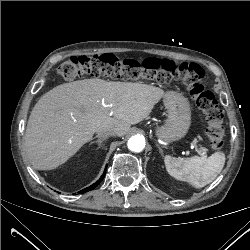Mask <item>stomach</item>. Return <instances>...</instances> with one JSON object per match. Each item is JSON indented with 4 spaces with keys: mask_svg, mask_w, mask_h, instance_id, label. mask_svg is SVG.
Masks as SVG:
<instances>
[{
    "mask_svg": "<svg viewBox=\"0 0 250 250\" xmlns=\"http://www.w3.org/2000/svg\"><path fill=\"white\" fill-rule=\"evenodd\" d=\"M164 105L167 119L155 129V135L167 143L178 141L187 134L191 125L189 101L177 92H168L164 95Z\"/></svg>",
    "mask_w": 250,
    "mask_h": 250,
    "instance_id": "0dacf381",
    "label": "stomach"
}]
</instances>
